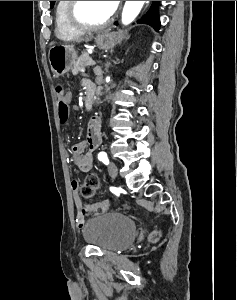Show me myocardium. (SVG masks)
<instances>
[{
	"label": "myocardium",
	"instance_id": "1",
	"mask_svg": "<svg viewBox=\"0 0 237 300\" xmlns=\"http://www.w3.org/2000/svg\"><path fill=\"white\" fill-rule=\"evenodd\" d=\"M80 5L81 1H70L67 9L68 21L70 25L76 30L82 32L101 30L111 25L115 19V14L113 13L109 19L101 24H88L84 22L79 16Z\"/></svg>",
	"mask_w": 237,
	"mask_h": 300
}]
</instances>
